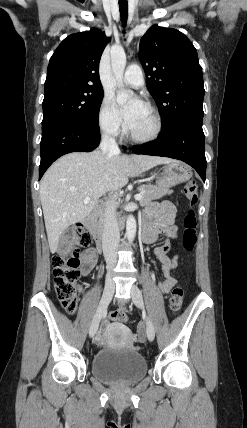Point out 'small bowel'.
I'll return each instance as SVG.
<instances>
[{
	"label": "small bowel",
	"mask_w": 247,
	"mask_h": 428,
	"mask_svg": "<svg viewBox=\"0 0 247 428\" xmlns=\"http://www.w3.org/2000/svg\"><path fill=\"white\" fill-rule=\"evenodd\" d=\"M175 207L169 201H162L151 206L149 211L144 216V231L143 240L146 243H153L157 237L164 233L169 238H176L178 235V229L174 223L175 219ZM169 250L168 244H163L155 248V255L162 264L163 280L159 283V289L164 293H168L175 285L176 279L172 275V271L177 267L178 256L168 257L167 253ZM97 261L96 252L92 249L86 250L81 255V271L82 274L87 276L93 270ZM125 311L124 308L119 309ZM140 335H131L129 338L130 342L140 341ZM105 337L103 333H100L96 337V343L103 344Z\"/></svg>",
	"instance_id": "c3829d8e"
}]
</instances>
